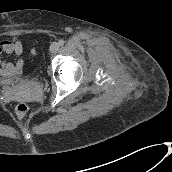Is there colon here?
<instances>
[{
	"mask_svg": "<svg viewBox=\"0 0 172 172\" xmlns=\"http://www.w3.org/2000/svg\"><path fill=\"white\" fill-rule=\"evenodd\" d=\"M28 106L24 103H19L17 106H16V112L19 116H24L28 113Z\"/></svg>",
	"mask_w": 172,
	"mask_h": 172,
	"instance_id": "colon-1",
	"label": "colon"
}]
</instances>
